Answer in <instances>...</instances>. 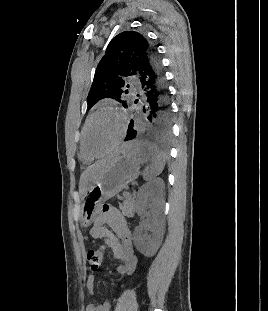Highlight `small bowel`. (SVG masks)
<instances>
[{"instance_id":"obj_1","label":"small bowel","mask_w":268,"mask_h":311,"mask_svg":"<svg viewBox=\"0 0 268 311\" xmlns=\"http://www.w3.org/2000/svg\"><path fill=\"white\" fill-rule=\"evenodd\" d=\"M90 236L103 241L104 245L112 252L114 259L119 261L116 272L122 276L131 275L137 264L134 254L131 232L126 219L121 212L113 207L104 205L94 226L90 230ZM86 287L91 297L95 295L94 275L90 274L86 281ZM111 299L106 298L99 303L91 300L85 311H110Z\"/></svg>"}]
</instances>
